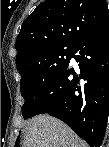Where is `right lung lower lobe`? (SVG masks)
Here are the masks:
<instances>
[{
	"instance_id": "obj_1",
	"label": "right lung lower lobe",
	"mask_w": 109,
	"mask_h": 147,
	"mask_svg": "<svg viewBox=\"0 0 109 147\" xmlns=\"http://www.w3.org/2000/svg\"><path fill=\"white\" fill-rule=\"evenodd\" d=\"M72 56L79 68L65 66L35 115L56 117L91 147H99L109 115V20L80 40Z\"/></svg>"
}]
</instances>
